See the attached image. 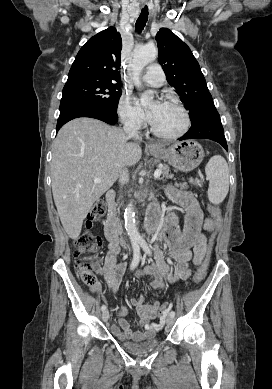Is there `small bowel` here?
Segmentation results:
<instances>
[{"label":"small bowel","mask_w":272,"mask_h":389,"mask_svg":"<svg viewBox=\"0 0 272 389\" xmlns=\"http://www.w3.org/2000/svg\"><path fill=\"white\" fill-rule=\"evenodd\" d=\"M168 195L185 212L184 228L180 230L178 217L175 214L167 217L161 240L167 247L169 257L177 264L174 268H170L162 254L157 251L155 261L144 272L154 278L151 286L155 290H163L167 283L187 280L191 276L190 261L198 266L207 250L204 231H212L214 228L213 220L204 219L202 210L191 193L171 187L168 189ZM118 254V245L110 243L104 267H100L99 264L94 265V270L104 276L112 293L118 290L126 270L125 262L117 263ZM100 288L101 284L97 282L91 290L97 292ZM130 303L140 318L143 330L135 332L125 319L118 318L117 324L111 327V333L120 340L142 341L152 338L156 330L160 328V325L152 322L157 315L160 303L158 301L145 303L142 297L131 298ZM119 312L125 313L126 308H119Z\"/></svg>","instance_id":"1"}]
</instances>
